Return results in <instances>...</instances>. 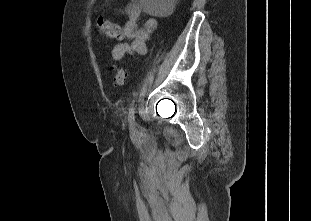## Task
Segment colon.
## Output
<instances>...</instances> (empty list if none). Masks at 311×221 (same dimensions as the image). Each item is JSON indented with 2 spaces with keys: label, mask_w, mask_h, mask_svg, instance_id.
Listing matches in <instances>:
<instances>
[{
  "label": "colon",
  "mask_w": 311,
  "mask_h": 221,
  "mask_svg": "<svg viewBox=\"0 0 311 221\" xmlns=\"http://www.w3.org/2000/svg\"><path fill=\"white\" fill-rule=\"evenodd\" d=\"M99 29L103 35H105L107 38L112 40H120L121 36L118 33L117 25L116 23L112 22L111 20H103L99 23ZM113 85L116 87H121L125 85L128 74L125 70L119 68V67H113Z\"/></svg>",
  "instance_id": "5ec220e1"
}]
</instances>
